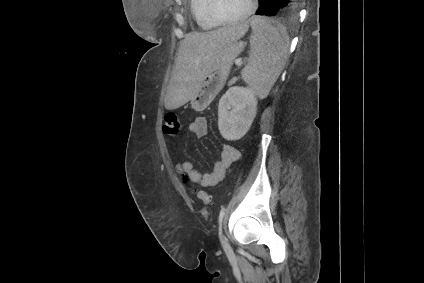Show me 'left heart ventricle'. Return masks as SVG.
<instances>
[{"instance_id": "obj_1", "label": "left heart ventricle", "mask_w": 424, "mask_h": 283, "mask_svg": "<svg viewBox=\"0 0 424 283\" xmlns=\"http://www.w3.org/2000/svg\"><path fill=\"white\" fill-rule=\"evenodd\" d=\"M250 0H217V13L225 19L237 18L247 11Z\"/></svg>"}]
</instances>
